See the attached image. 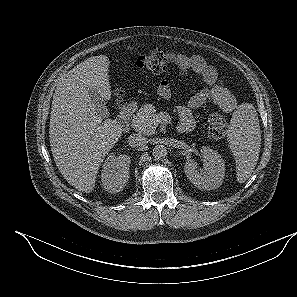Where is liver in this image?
<instances>
[{
    "instance_id": "1",
    "label": "liver",
    "mask_w": 297,
    "mask_h": 297,
    "mask_svg": "<svg viewBox=\"0 0 297 297\" xmlns=\"http://www.w3.org/2000/svg\"><path fill=\"white\" fill-rule=\"evenodd\" d=\"M109 59L105 55L84 60L61 78L53 95L49 138L60 173L77 190L90 193L103 158L118 142L122 130L102 118L88 94L94 88L111 98Z\"/></svg>"
}]
</instances>
